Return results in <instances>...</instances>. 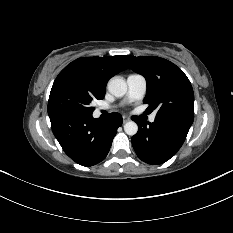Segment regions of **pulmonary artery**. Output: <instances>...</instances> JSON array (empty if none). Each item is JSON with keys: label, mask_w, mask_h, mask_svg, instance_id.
<instances>
[{"label": "pulmonary artery", "mask_w": 233, "mask_h": 233, "mask_svg": "<svg viewBox=\"0 0 233 233\" xmlns=\"http://www.w3.org/2000/svg\"><path fill=\"white\" fill-rule=\"evenodd\" d=\"M128 92L126 100L134 101L141 99L146 92L147 84L146 79L140 74H130L127 77ZM101 109L98 110V112ZM156 115L152 114L149 117L150 122H154Z\"/></svg>", "instance_id": "e3ab8cb5"}]
</instances>
